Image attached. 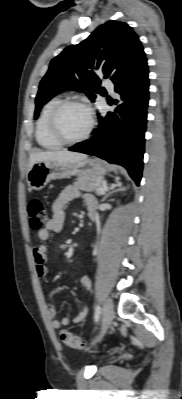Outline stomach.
<instances>
[{
	"label": "stomach",
	"instance_id": "0dacf381",
	"mask_svg": "<svg viewBox=\"0 0 182 399\" xmlns=\"http://www.w3.org/2000/svg\"><path fill=\"white\" fill-rule=\"evenodd\" d=\"M106 172L107 166L99 159L85 158L75 163L41 161L29 169L27 182L31 189L41 190L54 179L71 176L102 177Z\"/></svg>",
	"mask_w": 182,
	"mask_h": 399
}]
</instances>
